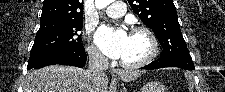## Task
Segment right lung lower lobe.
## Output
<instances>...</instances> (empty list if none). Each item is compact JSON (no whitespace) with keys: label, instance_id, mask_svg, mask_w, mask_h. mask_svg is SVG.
<instances>
[{"label":"right lung lower lobe","instance_id":"98d812e1","mask_svg":"<svg viewBox=\"0 0 225 92\" xmlns=\"http://www.w3.org/2000/svg\"><path fill=\"white\" fill-rule=\"evenodd\" d=\"M86 57L83 46L51 50L30 55L27 69H39L54 64L83 67L86 63Z\"/></svg>","mask_w":225,"mask_h":92}]
</instances>
